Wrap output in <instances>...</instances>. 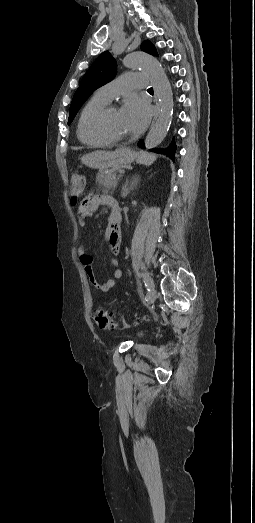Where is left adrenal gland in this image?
<instances>
[{"label":"left adrenal gland","mask_w":255,"mask_h":523,"mask_svg":"<svg viewBox=\"0 0 255 523\" xmlns=\"http://www.w3.org/2000/svg\"><path fill=\"white\" fill-rule=\"evenodd\" d=\"M138 182H139V178H136V176H133L131 182H130L129 178H126V182L122 186V192H121L122 198H126L127 194H130L131 190H134V188H136Z\"/></svg>","instance_id":"left-adrenal-gland-1"}]
</instances>
